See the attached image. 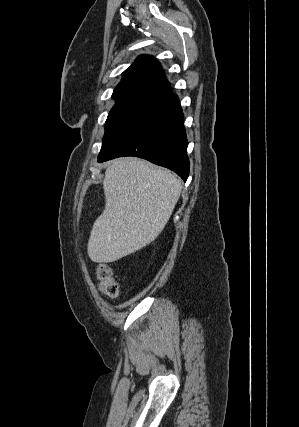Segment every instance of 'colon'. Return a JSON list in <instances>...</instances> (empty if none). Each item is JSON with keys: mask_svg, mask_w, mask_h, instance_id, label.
I'll return each mask as SVG.
<instances>
[{"mask_svg": "<svg viewBox=\"0 0 299 427\" xmlns=\"http://www.w3.org/2000/svg\"><path fill=\"white\" fill-rule=\"evenodd\" d=\"M97 278L102 294L109 298H116L119 295V284L114 272L106 264H101L97 268Z\"/></svg>", "mask_w": 299, "mask_h": 427, "instance_id": "5ec220e1", "label": "colon"}]
</instances>
